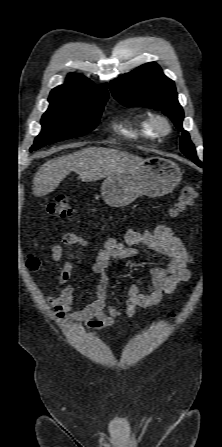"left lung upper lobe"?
Here are the masks:
<instances>
[{
	"mask_svg": "<svg viewBox=\"0 0 222 447\" xmlns=\"http://www.w3.org/2000/svg\"><path fill=\"white\" fill-rule=\"evenodd\" d=\"M116 100L128 107H148L162 111L183 131L181 151L191 160L198 159L187 131L182 128L184 113L177 99L174 82L167 78L159 65L146 63L110 82Z\"/></svg>",
	"mask_w": 222,
	"mask_h": 447,
	"instance_id": "obj_1",
	"label": "left lung upper lobe"
}]
</instances>
